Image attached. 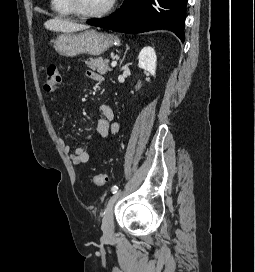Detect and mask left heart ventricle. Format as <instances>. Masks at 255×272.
<instances>
[{
	"label": "left heart ventricle",
	"mask_w": 255,
	"mask_h": 272,
	"mask_svg": "<svg viewBox=\"0 0 255 272\" xmlns=\"http://www.w3.org/2000/svg\"><path fill=\"white\" fill-rule=\"evenodd\" d=\"M79 8L85 12H98L103 10L110 0H76Z\"/></svg>",
	"instance_id": "obj_1"
}]
</instances>
